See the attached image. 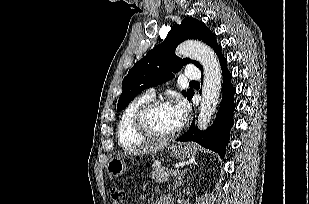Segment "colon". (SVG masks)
<instances>
[{
	"label": "colon",
	"instance_id": "colon-1",
	"mask_svg": "<svg viewBox=\"0 0 309 204\" xmlns=\"http://www.w3.org/2000/svg\"><path fill=\"white\" fill-rule=\"evenodd\" d=\"M111 199L113 204H123L124 201V190L118 187L111 188L110 191Z\"/></svg>",
	"mask_w": 309,
	"mask_h": 204
}]
</instances>
